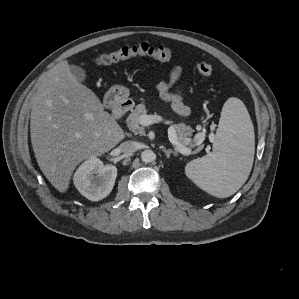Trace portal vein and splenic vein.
<instances>
[{"mask_svg": "<svg viewBox=\"0 0 299 299\" xmlns=\"http://www.w3.org/2000/svg\"><path fill=\"white\" fill-rule=\"evenodd\" d=\"M160 121H163V118L160 115H147L146 114V115L140 116V118H139V122L143 126H149L151 124L158 123ZM168 138H169L170 142L174 144V146L178 152H180L183 155L192 154V150L190 148L183 147L178 143L176 131L173 126H170L168 128Z\"/></svg>", "mask_w": 299, "mask_h": 299, "instance_id": "18ae733b", "label": "portal vein and splenic vein"}]
</instances>
